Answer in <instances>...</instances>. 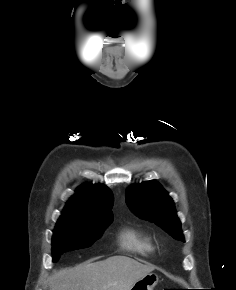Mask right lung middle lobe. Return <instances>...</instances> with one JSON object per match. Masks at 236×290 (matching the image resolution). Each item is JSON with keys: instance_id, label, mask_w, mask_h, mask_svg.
Returning <instances> with one entry per match:
<instances>
[{"instance_id": "dd1d6c3e", "label": "right lung middle lobe", "mask_w": 236, "mask_h": 290, "mask_svg": "<svg viewBox=\"0 0 236 290\" xmlns=\"http://www.w3.org/2000/svg\"><path fill=\"white\" fill-rule=\"evenodd\" d=\"M112 219L113 216L86 220L60 218L52 238L53 262H56L63 252L91 246Z\"/></svg>"}]
</instances>
